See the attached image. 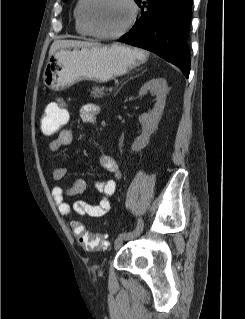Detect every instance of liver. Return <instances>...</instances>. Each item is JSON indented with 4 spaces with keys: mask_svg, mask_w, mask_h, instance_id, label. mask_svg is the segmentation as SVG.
Returning a JSON list of instances; mask_svg holds the SVG:
<instances>
[{
    "mask_svg": "<svg viewBox=\"0 0 245 319\" xmlns=\"http://www.w3.org/2000/svg\"><path fill=\"white\" fill-rule=\"evenodd\" d=\"M99 44L87 41L79 40H57L55 41L49 51V56H51L55 51L62 48H79V47H93Z\"/></svg>",
    "mask_w": 245,
    "mask_h": 319,
    "instance_id": "1",
    "label": "liver"
}]
</instances>
